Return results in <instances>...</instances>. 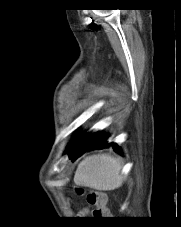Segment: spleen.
<instances>
[{"mask_svg":"<svg viewBox=\"0 0 181 227\" xmlns=\"http://www.w3.org/2000/svg\"><path fill=\"white\" fill-rule=\"evenodd\" d=\"M121 170L122 163L119 159L109 154L92 155L79 163L74 182L100 191L114 190L124 182Z\"/></svg>","mask_w":181,"mask_h":227,"instance_id":"obj_1","label":"spleen"}]
</instances>
